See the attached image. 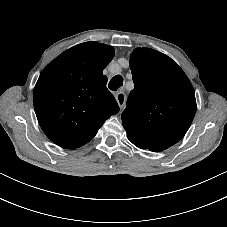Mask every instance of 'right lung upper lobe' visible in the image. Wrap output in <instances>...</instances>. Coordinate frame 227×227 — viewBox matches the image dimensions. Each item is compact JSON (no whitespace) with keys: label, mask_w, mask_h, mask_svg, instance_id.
<instances>
[{"label":"right lung upper lobe","mask_w":227,"mask_h":227,"mask_svg":"<svg viewBox=\"0 0 227 227\" xmlns=\"http://www.w3.org/2000/svg\"><path fill=\"white\" fill-rule=\"evenodd\" d=\"M114 48L98 42L78 44L55 58L39 76L33 93L38 122L58 146L88 143L119 106L103 75Z\"/></svg>","instance_id":"right-lung-upper-lobe-1"}]
</instances>
